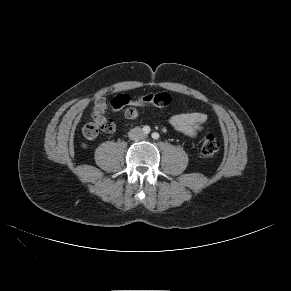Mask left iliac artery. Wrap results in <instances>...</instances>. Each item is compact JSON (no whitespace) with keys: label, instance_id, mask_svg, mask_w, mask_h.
<instances>
[{"label":"left iliac artery","instance_id":"left-iliac-artery-1","mask_svg":"<svg viewBox=\"0 0 291 291\" xmlns=\"http://www.w3.org/2000/svg\"><path fill=\"white\" fill-rule=\"evenodd\" d=\"M159 137H160L159 133H157V132L152 133L153 139L157 140V139H159Z\"/></svg>","mask_w":291,"mask_h":291}]
</instances>
